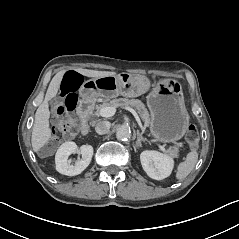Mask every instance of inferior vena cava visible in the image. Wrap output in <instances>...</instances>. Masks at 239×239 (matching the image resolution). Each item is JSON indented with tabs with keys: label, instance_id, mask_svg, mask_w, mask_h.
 Masks as SVG:
<instances>
[{
	"label": "inferior vena cava",
	"instance_id": "obj_1",
	"mask_svg": "<svg viewBox=\"0 0 239 239\" xmlns=\"http://www.w3.org/2000/svg\"><path fill=\"white\" fill-rule=\"evenodd\" d=\"M110 126L111 125L108 121H101L96 124L95 131L98 134L103 135L109 132Z\"/></svg>",
	"mask_w": 239,
	"mask_h": 239
}]
</instances>
